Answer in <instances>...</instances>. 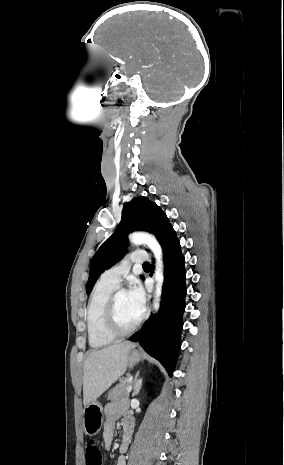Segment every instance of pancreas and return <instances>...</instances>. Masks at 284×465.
Masks as SVG:
<instances>
[{"mask_svg":"<svg viewBox=\"0 0 284 465\" xmlns=\"http://www.w3.org/2000/svg\"><path fill=\"white\" fill-rule=\"evenodd\" d=\"M130 385L131 383H129V377H127V379L121 381L119 385H116V387L111 389L108 395V399L113 401V403H115V401H119V399H126V397H128L127 389H129Z\"/></svg>","mask_w":284,"mask_h":465,"instance_id":"pancreas-1","label":"pancreas"}]
</instances>
